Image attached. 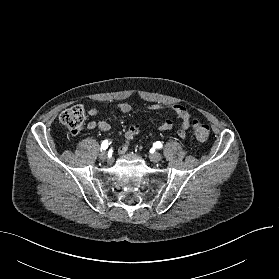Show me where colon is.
Masks as SVG:
<instances>
[{
	"label": "colon",
	"mask_w": 279,
	"mask_h": 279,
	"mask_svg": "<svg viewBox=\"0 0 279 279\" xmlns=\"http://www.w3.org/2000/svg\"><path fill=\"white\" fill-rule=\"evenodd\" d=\"M86 119L85 110L80 105H75L70 108L65 109L60 114V121L65 125L72 134H77ZM193 133L197 141L203 143L209 137V127L201 121H194L192 124Z\"/></svg>",
	"instance_id": "1"
}]
</instances>
